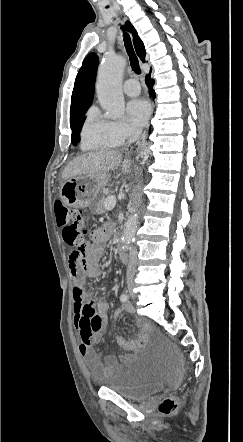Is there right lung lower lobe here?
I'll return each mask as SVG.
<instances>
[{
	"label": "right lung lower lobe",
	"mask_w": 243,
	"mask_h": 442,
	"mask_svg": "<svg viewBox=\"0 0 243 442\" xmlns=\"http://www.w3.org/2000/svg\"><path fill=\"white\" fill-rule=\"evenodd\" d=\"M146 84H147V86L150 88V90H151V95L153 96V97H155V92H154V90L152 89V87H153V85H154V80H151L150 79V74L146 77Z\"/></svg>",
	"instance_id": "right-lung-lower-lobe-1"
}]
</instances>
